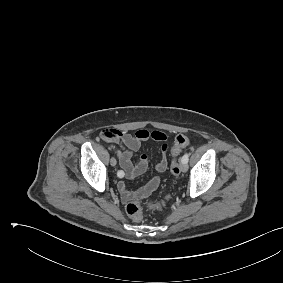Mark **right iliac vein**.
I'll return each mask as SVG.
<instances>
[{"label":"right iliac vein","mask_w":283,"mask_h":283,"mask_svg":"<svg viewBox=\"0 0 283 283\" xmlns=\"http://www.w3.org/2000/svg\"><path fill=\"white\" fill-rule=\"evenodd\" d=\"M110 164H111V166H113V167L116 165V159H115L114 157L111 158Z\"/></svg>","instance_id":"obj_1"}]
</instances>
